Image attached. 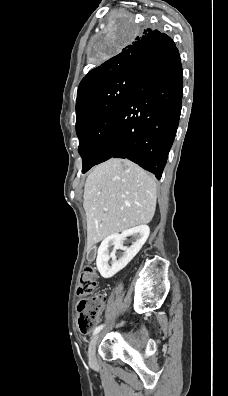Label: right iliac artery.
Listing matches in <instances>:
<instances>
[{
    "label": "right iliac artery",
    "mask_w": 228,
    "mask_h": 396,
    "mask_svg": "<svg viewBox=\"0 0 228 396\" xmlns=\"http://www.w3.org/2000/svg\"><path fill=\"white\" fill-rule=\"evenodd\" d=\"M103 327H104V325H100V326L96 327L93 332V335L97 334Z\"/></svg>",
    "instance_id": "obj_1"
}]
</instances>
